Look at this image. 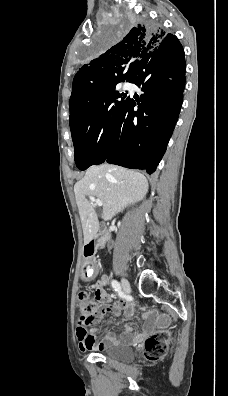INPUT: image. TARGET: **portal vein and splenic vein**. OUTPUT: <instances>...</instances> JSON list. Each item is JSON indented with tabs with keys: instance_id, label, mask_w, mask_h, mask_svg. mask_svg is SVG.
Returning a JSON list of instances; mask_svg holds the SVG:
<instances>
[{
	"instance_id": "obj_1",
	"label": "portal vein and splenic vein",
	"mask_w": 228,
	"mask_h": 396,
	"mask_svg": "<svg viewBox=\"0 0 228 396\" xmlns=\"http://www.w3.org/2000/svg\"><path fill=\"white\" fill-rule=\"evenodd\" d=\"M89 199L94 202L96 206H102V201L99 199H95L93 196H89Z\"/></svg>"
}]
</instances>
